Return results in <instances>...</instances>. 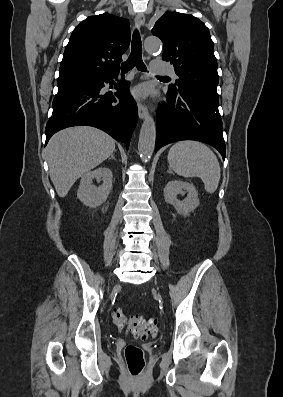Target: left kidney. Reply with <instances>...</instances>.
<instances>
[{
  "label": "left kidney",
  "instance_id": "5707ae66",
  "mask_svg": "<svg viewBox=\"0 0 283 397\" xmlns=\"http://www.w3.org/2000/svg\"><path fill=\"white\" fill-rule=\"evenodd\" d=\"M183 190H186L188 195L184 201H180L177 199V194L182 193ZM164 199L167 203L173 205L176 211L183 216H188L199 205L195 186L180 180H173L167 183L164 188Z\"/></svg>",
  "mask_w": 283,
  "mask_h": 397
}]
</instances>
